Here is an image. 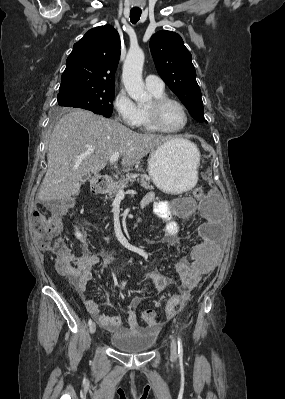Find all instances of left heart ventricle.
<instances>
[{"label":"left heart ventricle","mask_w":285,"mask_h":399,"mask_svg":"<svg viewBox=\"0 0 285 399\" xmlns=\"http://www.w3.org/2000/svg\"><path fill=\"white\" fill-rule=\"evenodd\" d=\"M162 122L166 127L178 128L184 123V115L175 103H168L162 110Z\"/></svg>","instance_id":"obj_1"}]
</instances>
